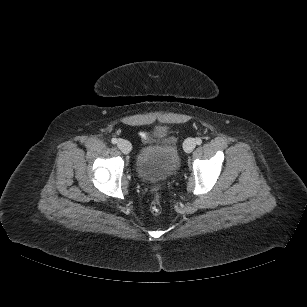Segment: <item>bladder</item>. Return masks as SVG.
<instances>
[{
	"label": "bladder",
	"mask_w": 307,
	"mask_h": 307,
	"mask_svg": "<svg viewBox=\"0 0 307 307\" xmlns=\"http://www.w3.org/2000/svg\"><path fill=\"white\" fill-rule=\"evenodd\" d=\"M179 168L177 145L146 146L139 150L135 160L137 176L147 182H160L172 178Z\"/></svg>",
	"instance_id": "bladder-1"
}]
</instances>
